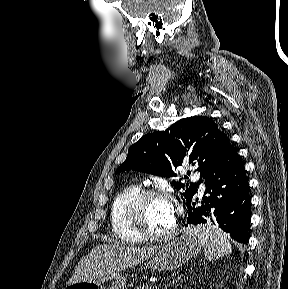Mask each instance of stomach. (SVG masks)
<instances>
[{
  "label": "stomach",
  "instance_id": "0dacf381",
  "mask_svg": "<svg viewBox=\"0 0 288 289\" xmlns=\"http://www.w3.org/2000/svg\"><path fill=\"white\" fill-rule=\"evenodd\" d=\"M202 248L197 237L188 230L180 237L159 246L156 252L146 260L145 267L151 270L169 271L183 265L196 256ZM128 274L116 272L95 280L81 281L68 285L66 289H124Z\"/></svg>",
  "mask_w": 288,
  "mask_h": 289
}]
</instances>
